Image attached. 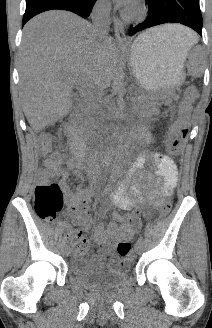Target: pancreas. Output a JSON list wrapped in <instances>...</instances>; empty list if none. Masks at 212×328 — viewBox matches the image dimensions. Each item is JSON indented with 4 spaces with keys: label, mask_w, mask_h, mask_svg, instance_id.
Returning <instances> with one entry per match:
<instances>
[{
    "label": "pancreas",
    "mask_w": 212,
    "mask_h": 328,
    "mask_svg": "<svg viewBox=\"0 0 212 328\" xmlns=\"http://www.w3.org/2000/svg\"><path fill=\"white\" fill-rule=\"evenodd\" d=\"M151 105L152 101L148 97L137 96L134 100L133 108L139 113H144Z\"/></svg>",
    "instance_id": "obj_1"
}]
</instances>
